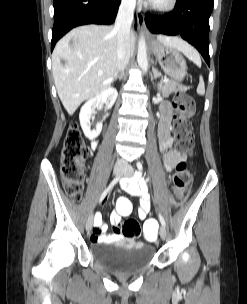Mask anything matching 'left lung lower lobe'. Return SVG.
I'll return each instance as SVG.
<instances>
[{"label":"left lung lower lobe","mask_w":247,"mask_h":304,"mask_svg":"<svg viewBox=\"0 0 247 304\" xmlns=\"http://www.w3.org/2000/svg\"><path fill=\"white\" fill-rule=\"evenodd\" d=\"M214 0H177L166 15H146L145 22L152 33L179 35L195 46L210 66L209 17Z\"/></svg>","instance_id":"obj_1"}]
</instances>
